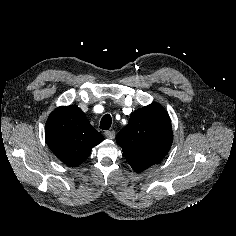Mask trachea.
Wrapping results in <instances>:
<instances>
[{
	"label": "trachea",
	"mask_w": 236,
	"mask_h": 236,
	"mask_svg": "<svg viewBox=\"0 0 236 236\" xmlns=\"http://www.w3.org/2000/svg\"><path fill=\"white\" fill-rule=\"evenodd\" d=\"M112 119L109 114H106L102 117L100 122V129L108 130L111 127Z\"/></svg>",
	"instance_id": "obj_1"
}]
</instances>
